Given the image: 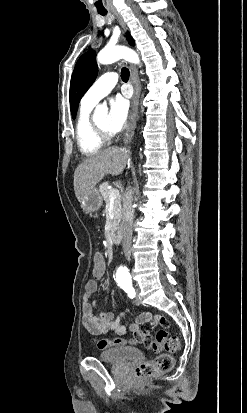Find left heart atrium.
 Here are the masks:
<instances>
[{"instance_id": "1", "label": "left heart atrium", "mask_w": 247, "mask_h": 413, "mask_svg": "<svg viewBox=\"0 0 247 413\" xmlns=\"http://www.w3.org/2000/svg\"><path fill=\"white\" fill-rule=\"evenodd\" d=\"M108 132L115 135L125 125L128 113V105L121 96L113 97L109 100Z\"/></svg>"}]
</instances>
